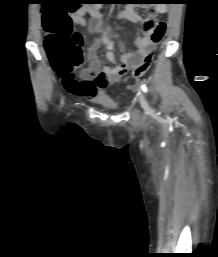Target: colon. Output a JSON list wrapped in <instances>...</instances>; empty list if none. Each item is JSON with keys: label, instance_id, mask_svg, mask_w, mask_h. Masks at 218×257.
<instances>
[{"label": "colon", "instance_id": "colon-1", "mask_svg": "<svg viewBox=\"0 0 218 257\" xmlns=\"http://www.w3.org/2000/svg\"><path fill=\"white\" fill-rule=\"evenodd\" d=\"M79 8L78 5H47L43 12L46 51L56 73L67 80L73 77L84 62L83 38L80 33L72 30L69 16V13H74ZM142 10H152V5H142ZM145 28L153 32L152 39L155 43H158L164 34L163 26L153 15L146 21ZM152 57L153 51L133 69L129 78L130 85L147 72Z\"/></svg>", "mask_w": 218, "mask_h": 257}]
</instances>
